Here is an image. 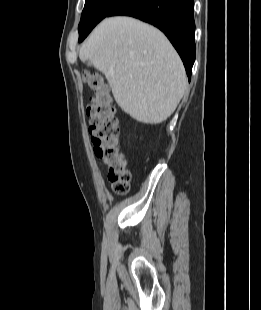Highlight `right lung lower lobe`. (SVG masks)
Here are the masks:
<instances>
[{
    "instance_id": "98d812e1",
    "label": "right lung lower lobe",
    "mask_w": 261,
    "mask_h": 310,
    "mask_svg": "<svg viewBox=\"0 0 261 310\" xmlns=\"http://www.w3.org/2000/svg\"><path fill=\"white\" fill-rule=\"evenodd\" d=\"M193 12V0H124L108 16H132L163 31L179 53L190 81L196 51ZM90 31L85 32L81 41Z\"/></svg>"
}]
</instances>
